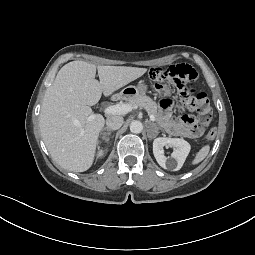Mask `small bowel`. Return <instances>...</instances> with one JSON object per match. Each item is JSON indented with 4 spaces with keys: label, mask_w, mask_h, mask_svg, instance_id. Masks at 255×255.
<instances>
[{
    "label": "small bowel",
    "mask_w": 255,
    "mask_h": 255,
    "mask_svg": "<svg viewBox=\"0 0 255 255\" xmlns=\"http://www.w3.org/2000/svg\"><path fill=\"white\" fill-rule=\"evenodd\" d=\"M161 107L162 122L169 133L190 139H195L202 135L203 130L198 126L192 114H185L180 120H173L171 101L169 99H164L161 103Z\"/></svg>",
    "instance_id": "small-bowel-1"
}]
</instances>
